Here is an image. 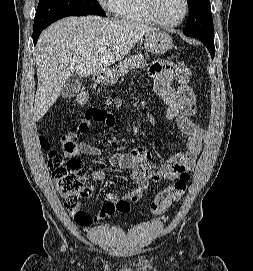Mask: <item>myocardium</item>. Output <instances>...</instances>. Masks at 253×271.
<instances>
[{
    "label": "myocardium",
    "mask_w": 253,
    "mask_h": 271,
    "mask_svg": "<svg viewBox=\"0 0 253 271\" xmlns=\"http://www.w3.org/2000/svg\"><path fill=\"white\" fill-rule=\"evenodd\" d=\"M142 1H143L144 10H145L146 14L148 15V17L151 19V21L159 26H162V27H166V28L177 27V26L181 25L189 15L190 6H189L188 0H183L184 12H183L181 18L179 20H177L176 22H164L161 19H159L154 11V8H153V0H142Z\"/></svg>",
    "instance_id": "myocardium-1"
}]
</instances>
